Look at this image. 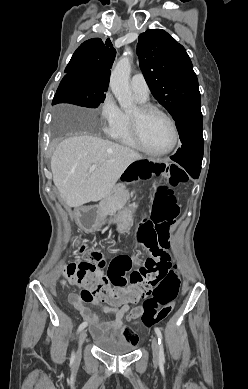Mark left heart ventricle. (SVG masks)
Masks as SVG:
<instances>
[{
	"label": "left heart ventricle",
	"mask_w": 248,
	"mask_h": 389,
	"mask_svg": "<svg viewBox=\"0 0 248 389\" xmlns=\"http://www.w3.org/2000/svg\"><path fill=\"white\" fill-rule=\"evenodd\" d=\"M136 112L137 108L131 114ZM141 134L147 147L154 151L164 150L172 142V128L169 122L158 113H151L143 118Z\"/></svg>",
	"instance_id": "1"
}]
</instances>
